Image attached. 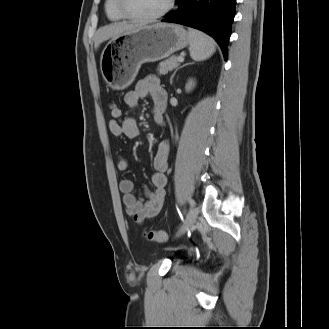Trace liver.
Masks as SVG:
<instances>
[{
    "label": "liver",
    "instance_id": "obj_1",
    "mask_svg": "<svg viewBox=\"0 0 329 329\" xmlns=\"http://www.w3.org/2000/svg\"><path fill=\"white\" fill-rule=\"evenodd\" d=\"M140 27H142V25L140 24H128L125 22L113 23L110 25L103 26L96 32L94 39V47L95 49H98L100 44L104 41L113 38L117 35L134 31Z\"/></svg>",
    "mask_w": 329,
    "mask_h": 329
}]
</instances>
